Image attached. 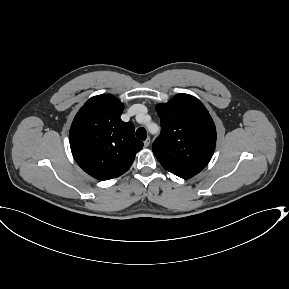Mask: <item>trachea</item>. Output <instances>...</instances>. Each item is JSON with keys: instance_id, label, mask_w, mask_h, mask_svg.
<instances>
[{"instance_id": "1", "label": "trachea", "mask_w": 289, "mask_h": 289, "mask_svg": "<svg viewBox=\"0 0 289 289\" xmlns=\"http://www.w3.org/2000/svg\"><path fill=\"white\" fill-rule=\"evenodd\" d=\"M136 137L140 140H145L147 137V132L144 128L140 127L136 130Z\"/></svg>"}]
</instances>
